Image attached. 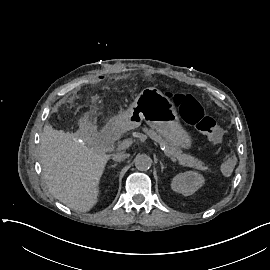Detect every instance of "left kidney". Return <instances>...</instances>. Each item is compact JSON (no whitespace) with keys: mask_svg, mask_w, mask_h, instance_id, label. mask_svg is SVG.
<instances>
[{"mask_svg":"<svg viewBox=\"0 0 270 270\" xmlns=\"http://www.w3.org/2000/svg\"><path fill=\"white\" fill-rule=\"evenodd\" d=\"M204 179L196 172L188 171L178 174L172 182V189L184 195L193 194L203 183Z\"/></svg>","mask_w":270,"mask_h":270,"instance_id":"left-kidney-1","label":"left kidney"}]
</instances>
